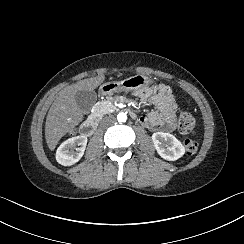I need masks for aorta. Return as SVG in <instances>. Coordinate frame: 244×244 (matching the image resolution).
<instances>
[{
    "label": "aorta",
    "instance_id": "1",
    "mask_svg": "<svg viewBox=\"0 0 244 244\" xmlns=\"http://www.w3.org/2000/svg\"><path fill=\"white\" fill-rule=\"evenodd\" d=\"M117 120L119 122H125L127 120V115L125 113H119L117 115Z\"/></svg>",
    "mask_w": 244,
    "mask_h": 244
}]
</instances>
